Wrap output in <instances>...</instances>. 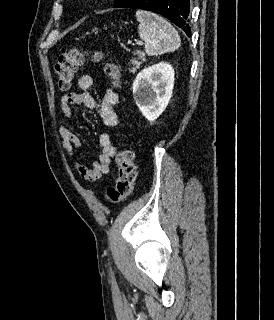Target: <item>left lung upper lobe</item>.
Masks as SVG:
<instances>
[{
	"mask_svg": "<svg viewBox=\"0 0 274 320\" xmlns=\"http://www.w3.org/2000/svg\"><path fill=\"white\" fill-rule=\"evenodd\" d=\"M129 0H115L113 7H122L124 4H126Z\"/></svg>",
	"mask_w": 274,
	"mask_h": 320,
	"instance_id": "obj_1",
	"label": "left lung upper lobe"
}]
</instances>
